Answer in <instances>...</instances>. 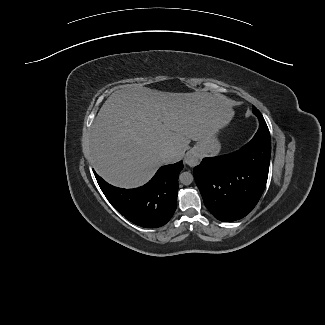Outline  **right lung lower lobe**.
<instances>
[{"label": "right lung lower lobe", "instance_id": "1", "mask_svg": "<svg viewBox=\"0 0 325 325\" xmlns=\"http://www.w3.org/2000/svg\"><path fill=\"white\" fill-rule=\"evenodd\" d=\"M182 168V161L162 166L147 184L135 189L114 187L94 174L102 192L119 213L136 225L155 228L166 224L176 210Z\"/></svg>", "mask_w": 325, "mask_h": 325}]
</instances>
